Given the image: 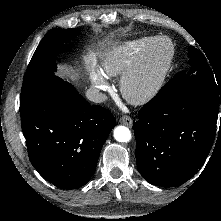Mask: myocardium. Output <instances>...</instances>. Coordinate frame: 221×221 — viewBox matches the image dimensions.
Returning <instances> with one entry per match:
<instances>
[{"label":"myocardium","mask_w":221,"mask_h":221,"mask_svg":"<svg viewBox=\"0 0 221 221\" xmlns=\"http://www.w3.org/2000/svg\"><path fill=\"white\" fill-rule=\"evenodd\" d=\"M163 49L161 59L157 53ZM174 45L166 37H157L147 49L142 60L121 80V93L135 105L149 102L162 88L174 58ZM154 67V68H153Z\"/></svg>","instance_id":"f54148a6"}]
</instances>
